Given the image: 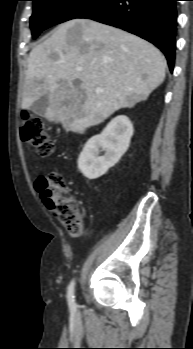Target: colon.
I'll return each mask as SVG.
<instances>
[{
	"label": "colon",
	"instance_id": "1",
	"mask_svg": "<svg viewBox=\"0 0 193 349\" xmlns=\"http://www.w3.org/2000/svg\"><path fill=\"white\" fill-rule=\"evenodd\" d=\"M20 134L23 141L32 144L38 154L48 157L54 152L53 140L43 122L23 112ZM36 186L46 207L72 235H78L83 228V219L78 202L69 193L61 173L52 171L40 176Z\"/></svg>",
	"mask_w": 193,
	"mask_h": 349
}]
</instances>
